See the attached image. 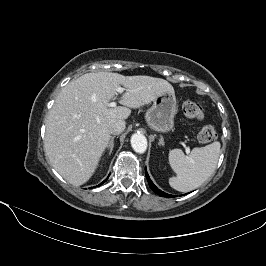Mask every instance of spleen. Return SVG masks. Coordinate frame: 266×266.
I'll list each match as a JSON object with an SVG mask.
<instances>
[{"mask_svg": "<svg viewBox=\"0 0 266 266\" xmlns=\"http://www.w3.org/2000/svg\"><path fill=\"white\" fill-rule=\"evenodd\" d=\"M220 147L215 141L192 149L188 156L180 149L171 150L169 164L176 176L169 178L170 186L180 192H189L203 184L216 169Z\"/></svg>", "mask_w": 266, "mask_h": 266, "instance_id": "3e777b00", "label": "spleen"}]
</instances>
